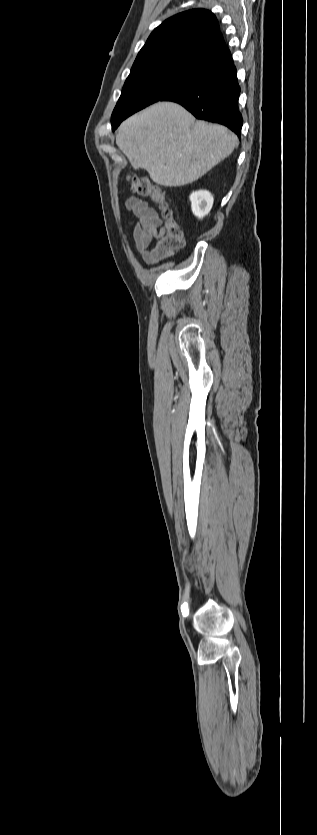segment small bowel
Returning a JSON list of instances; mask_svg holds the SVG:
<instances>
[{
  "label": "small bowel",
  "instance_id": "1",
  "mask_svg": "<svg viewBox=\"0 0 317 835\" xmlns=\"http://www.w3.org/2000/svg\"><path fill=\"white\" fill-rule=\"evenodd\" d=\"M126 208L130 210L138 222L133 227V238L138 251L148 264L158 263L164 256L157 251V245L150 248L154 239H160L164 234L162 219L157 211L147 201L137 197H129Z\"/></svg>",
  "mask_w": 317,
  "mask_h": 835
}]
</instances>
